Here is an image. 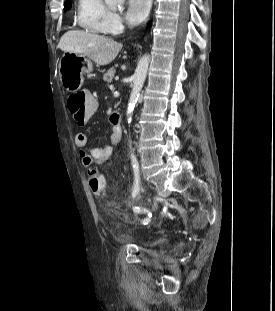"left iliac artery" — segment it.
Returning <instances> with one entry per match:
<instances>
[{"label": "left iliac artery", "instance_id": "1", "mask_svg": "<svg viewBox=\"0 0 275 311\" xmlns=\"http://www.w3.org/2000/svg\"><path fill=\"white\" fill-rule=\"evenodd\" d=\"M131 159H132V164H133V170H134V186H133V190H132V197L135 198L136 195L138 194L140 187H139V183H140V177H139V164L137 161V158L134 154L131 155ZM133 210L135 212L139 211V207H134ZM149 217H151V214L149 213ZM150 221V219H145L143 221L144 224L148 223Z\"/></svg>", "mask_w": 275, "mask_h": 311}]
</instances>
